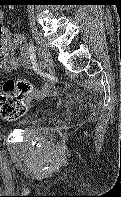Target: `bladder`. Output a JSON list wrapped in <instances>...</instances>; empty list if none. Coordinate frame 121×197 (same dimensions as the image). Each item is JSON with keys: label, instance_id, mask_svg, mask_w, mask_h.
Wrapping results in <instances>:
<instances>
[{"label": "bladder", "instance_id": "bladder-1", "mask_svg": "<svg viewBox=\"0 0 121 197\" xmlns=\"http://www.w3.org/2000/svg\"><path fill=\"white\" fill-rule=\"evenodd\" d=\"M38 119H40V116L39 115H35L27 120H24L21 122V125L23 126H30L32 124H34Z\"/></svg>", "mask_w": 121, "mask_h": 197}]
</instances>
